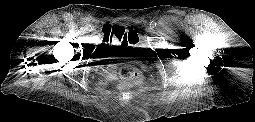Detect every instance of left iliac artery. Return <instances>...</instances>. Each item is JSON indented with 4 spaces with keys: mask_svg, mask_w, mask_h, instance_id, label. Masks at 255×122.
<instances>
[{
    "mask_svg": "<svg viewBox=\"0 0 255 122\" xmlns=\"http://www.w3.org/2000/svg\"><path fill=\"white\" fill-rule=\"evenodd\" d=\"M156 25H157V23L155 22V21H152L151 23H150V27H156Z\"/></svg>",
    "mask_w": 255,
    "mask_h": 122,
    "instance_id": "1",
    "label": "left iliac artery"
}]
</instances>
